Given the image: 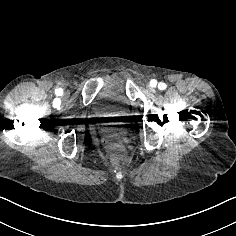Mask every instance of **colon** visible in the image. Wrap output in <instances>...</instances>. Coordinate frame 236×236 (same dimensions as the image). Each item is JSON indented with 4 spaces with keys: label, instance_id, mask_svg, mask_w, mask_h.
<instances>
[{
    "label": "colon",
    "instance_id": "obj_1",
    "mask_svg": "<svg viewBox=\"0 0 236 236\" xmlns=\"http://www.w3.org/2000/svg\"><path fill=\"white\" fill-rule=\"evenodd\" d=\"M106 149L110 157L115 161L123 162L126 159V150L121 142L109 140L107 141Z\"/></svg>",
    "mask_w": 236,
    "mask_h": 236
}]
</instances>
